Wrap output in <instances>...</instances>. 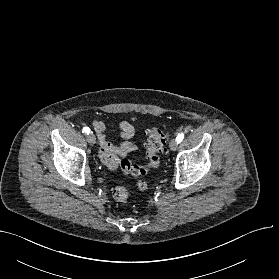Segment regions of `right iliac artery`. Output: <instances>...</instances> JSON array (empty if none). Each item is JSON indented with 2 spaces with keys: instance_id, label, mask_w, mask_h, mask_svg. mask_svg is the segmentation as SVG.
<instances>
[{
  "instance_id": "obj_1",
  "label": "right iliac artery",
  "mask_w": 279,
  "mask_h": 279,
  "mask_svg": "<svg viewBox=\"0 0 279 279\" xmlns=\"http://www.w3.org/2000/svg\"><path fill=\"white\" fill-rule=\"evenodd\" d=\"M90 132V129L88 127L83 128V133L88 134Z\"/></svg>"
}]
</instances>
